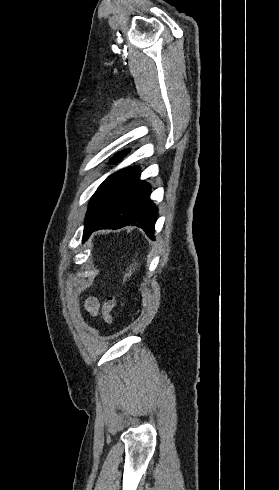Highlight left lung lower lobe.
I'll list each match as a JSON object with an SVG mask.
<instances>
[{"label": "left lung lower lobe", "mask_w": 279, "mask_h": 490, "mask_svg": "<svg viewBox=\"0 0 279 490\" xmlns=\"http://www.w3.org/2000/svg\"><path fill=\"white\" fill-rule=\"evenodd\" d=\"M138 170L136 168L123 185L117 195L114 208L87 230L85 241L95 230L117 229L128 225L142 228L151 239H154L158 210L150 200L151 186L139 179Z\"/></svg>", "instance_id": "obj_1"}]
</instances>
